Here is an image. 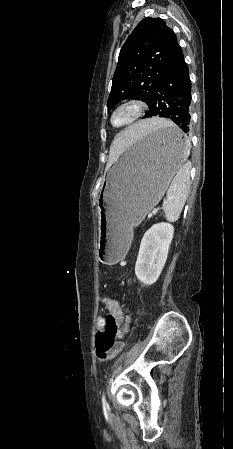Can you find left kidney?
<instances>
[{"label": "left kidney", "instance_id": "1", "mask_svg": "<svg viewBox=\"0 0 233 449\" xmlns=\"http://www.w3.org/2000/svg\"><path fill=\"white\" fill-rule=\"evenodd\" d=\"M174 227L170 223L154 224L144 234L135 265V274L145 285L154 284L166 263Z\"/></svg>", "mask_w": 233, "mask_h": 449}]
</instances>
